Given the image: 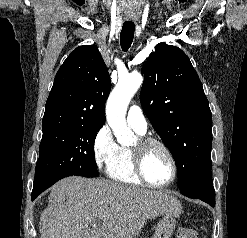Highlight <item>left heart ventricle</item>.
<instances>
[{
  "instance_id": "obj_1",
  "label": "left heart ventricle",
  "mask_w": 247,
  "mask_h": 238,
  "mask_svg": "<svg viewBox=\"0 0 247 238\" xmlns=\"http://www.w3.org/2000/svg\"><path fill=\"white\" fill-rule=\"evenodd\" d=\"M144 171L147 178L153 183H164L172 174L170 160L166 153L159 147H151L144 160Z\"/></svg>"
}]
</instances>
